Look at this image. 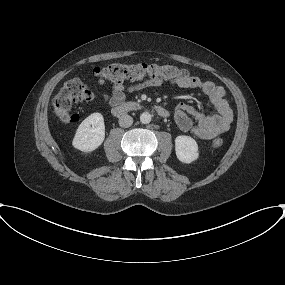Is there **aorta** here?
I'll list each match as a JSON object with an SVG mask.
<instances>
[{
    "label": "aorta",
    "instance_id": "1",
    "mask_svg": "<svg viewBox=\"0 0 285 285\" xmlns=\"http://www.w3.org/2000/svg\"><path fill=\"white\" fill-rule=\"evenodd\" d=\"M151 114L148 113V112H143L141 115H140V122L143 123V124H148L150 123L151 121Z\"/></svg>",
    "mask_w": 285,
    "mask_h": 285
}]
</instances>
